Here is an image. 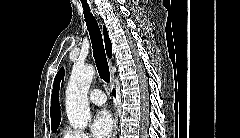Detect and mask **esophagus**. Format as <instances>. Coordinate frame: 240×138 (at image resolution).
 <instances>
[{
  "instance_id": "obj_1",
  "label": "esophagus",
  "mask_w": 240,
  "mask_h": 138,
  "mask_svg": "<svg viewBox=\"0 0 240 138\" xmlns=\"http://www.w3.org/2000/svg\"><path fill=\"white\" fill-rule=\"evenodd\" d=\"M97 15L98 12L96 11ZM109 64H110V71H111V86H113L114 84V71H113V65H112V61L109 60ZM116 108V105L114 106ZM117 124H118V118H117V114L115 112L114 114V125H113V134L112 137L114 138L117 134Z\"/></svg>"
}]
</instances>
